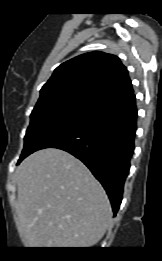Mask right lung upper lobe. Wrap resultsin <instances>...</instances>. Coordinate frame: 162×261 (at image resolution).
<instances>
[{
  "label": "right lung upper lobe",
  "instance_id": "cb5924a9",
  "mask_svg": "<svg viewBox=\"0 0 162 261\" xmlns=\"http://www.w3.org/2000/svg\"><path fill=\"white\" fill-rule=\"evenodd\" d=\"M67 92H81L104 103L132 93L133 88L120 59L96 51L79 55L57 67L42 87L40 98Z\"/></svg>",
  "mask_w": 162,
  "mask_h": 261
}]
</instances>
